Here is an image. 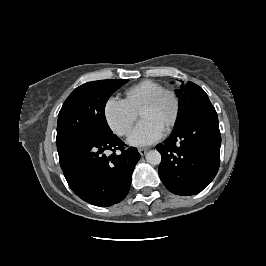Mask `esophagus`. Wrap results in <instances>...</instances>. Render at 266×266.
<instances>
[{
  "label": "esophagus",
  "instance_id": "esophagus-1",
  "mask_svg": "<svg viewBox=\"0 0 266 266\" xmlns=\"http://www.w3.org/2000/svg\"><path fill=\"white\" fill-rule=\"evenodd\" d=\"M138 151H139L140 155L143 156V155H145L147 153L148 148L142 147V148H139Z\"/></svg>",
  "mask_w": 266,
  "mask_h": 266
}]
</instances>
